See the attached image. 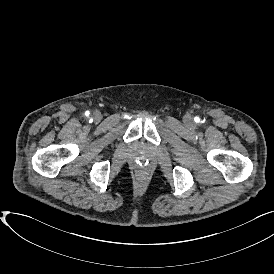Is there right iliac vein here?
Masks as SVG:
<instances>
[{
    "label": "right iliac vein",
    "mask_w": 274,
    "mask_h": 274,
    "mask_svg": "<svg viewBox=\"0 0 274 274\" xmlns=\"http://www.w3.org/2000/svg\"><path fill=\"white\" fill-rule=\"evenodd\" d=\"M101 119H102V114H101V112H100V111H95V112L93 113V120H94L95 122H100Z\"/></svg>",
    "instance_id": "63e3f726"
}]
</instances>
